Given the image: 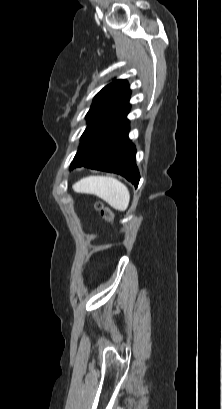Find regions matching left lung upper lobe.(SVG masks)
Masks as SVG:
<instances>
[{"label":"left lung upper lobe","instance_id":"obj_1","mask_svg":"<svg viewBox=\"0 0 222 409\" xmlns=\"http://www.w3.org/2000/svg\"><path fill=\"white\" fill-rule=\"evenodd\" d=\"M129 97L130 90L125 80L113 81L95 96L93 104L86 115L88 126L81 137V145L75 158L101 130L118 120L128 111Z\"/></svg>","mask_w":222,"mask_h":409}]
</instances>
